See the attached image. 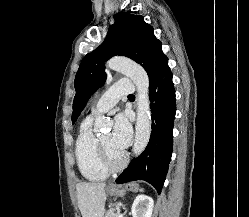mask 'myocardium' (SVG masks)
<instances>
[{
  "label": "myocardium",
  "mask_w": 249,
  "mask_h": 217,
  "mask_svg": "<svg viewBox=\"0 0 249 217\" xmlns=\"http://www.w3.org/2000/svg\"><path fill=\"white\" fill-rule=\"evenodd\" d=\"M98 148L102 163L108 171L117 172L126 165L128 161V154L126 152H121L118 157H113L100 139H98Z\"/></svg>",
  "instance_id": "1"
}]
</instances>
